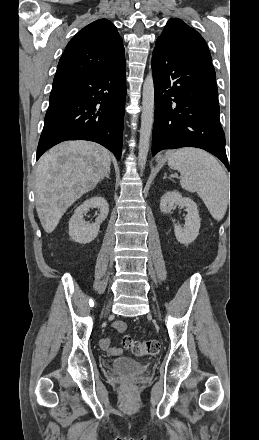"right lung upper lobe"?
<instances>
[{
    "mask_svg": "<svg viewBox=\"0 0 259 440\" xmlns=\"http://www.w3.org/2000/svg\"><path fill=\"white\" fill-rule=\"evenodd\" d=\"M125 60L124 47L113 23L100 19L80 30L67 44L54 81L100 72Z\"/></svg>",
    "mask_w": 259,
    "mask_h": 440,
    "instance_id": "obj_1",
    "label": "right lung upper lobe"
}]
</instances>
